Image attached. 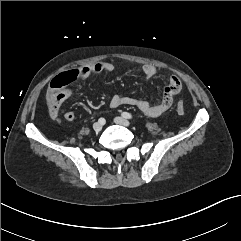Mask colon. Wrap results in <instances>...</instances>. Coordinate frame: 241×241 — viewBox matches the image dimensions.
Segmentation results:
<instances>
[{"instance_id":"5ec220e1","label":"colon","mask_w":241,"mask_h":241,"mask_svg":"<svg viewBox=\"0 0 241 241\" xmlns=\"http://www.w3.org/2000/svg\"><path fill=\"white\" fill-rule=\"evenodd\" d=\"M84 76V69L80 65H76L74 68H70L69 72L63 73L56 77L52 82L49 90V95H54L58 90L64 88L67 84L73 80H80ZM178 114H184L185 105L183 102H179L176 107Z\"/></svg>"}]
</instances>
